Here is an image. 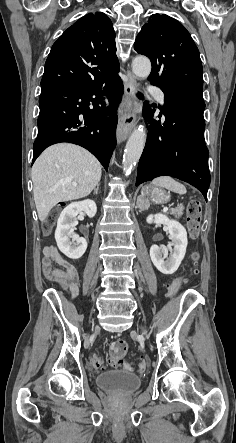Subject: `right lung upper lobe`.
I'll return each mask as SVG.
<instances>
[{"label": "right lung upper lobe", "instance_id": "1", "mask_svg": "<svg viewBox=\"0 0 236 443\" xmlns=\"http://www.w3.org/2000/svg\"><path fill=\"white\" fill-rule=\"evenodd\" d=\"M118 71L111 20L101 12L89 13L53 44L45 63L41 88L91 85Z\"/></svg>", "mask_w": 236, "mask_h": 443}]
</instances>
